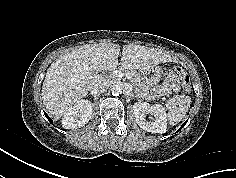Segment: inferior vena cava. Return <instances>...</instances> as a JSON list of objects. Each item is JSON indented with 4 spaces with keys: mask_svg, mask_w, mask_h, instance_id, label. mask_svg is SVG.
<instances>
[{
    "mask_svg": "<svg viewBox=\"0 0 236 178\" xmlns=\"http://www.w3.org/2000/svg\"><path fill=\"white\" fill-rule=\"evenodd\" d=\"M110 84L107 82H100L98 84H95L92 89L90 90L92 95H99L104 93L108 88Z\"/></svg>",
    "mask_w": 236,
    "mask_h": 178,
    "instance_id": "inferior-vena-cava-1",
    "label": "inferior vena cava"
}]
</instances>
